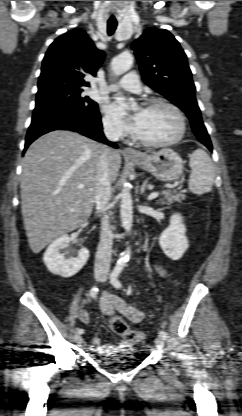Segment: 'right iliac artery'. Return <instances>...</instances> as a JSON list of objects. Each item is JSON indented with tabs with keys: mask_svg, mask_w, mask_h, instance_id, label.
Returning <instances> with one entry per match:
<instances>
[{
	"mask_svg": "<svg viewBox=\"0 0 242 416\" xmlns=\"http://www.w3.org/2000/svg\"><path fill=\"white\" fill-rule=\"evenodd\" d=\"M98 291H99L98 288L96 286H93L90 290V296L92 298H96ZM83 332H84L83 329H80V328L77 329V333L82 334Z\"/></svg>",
	"mask_w": 242,
	"mask_h": 416,
	"instance_id": "82829eb1",
	"label": "right iliac artery"
}]
</instances>
